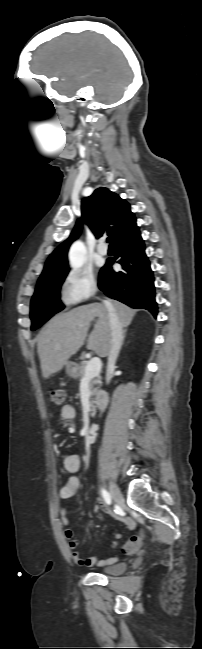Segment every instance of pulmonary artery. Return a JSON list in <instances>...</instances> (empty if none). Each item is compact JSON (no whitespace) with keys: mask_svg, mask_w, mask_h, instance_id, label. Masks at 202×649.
<instances>
[{"mask_svg":"<svg viewBox=\"0 0 202 649\" xmlns=\"http://www.w3.org/2000/svg\"><path fill=\"white\" fill-rule=\"evenodd\" d=\"M97 251L100 255H106L108 253L107 246L101 241L97 247Z\"/></svg>","mask_w":202,"mask_h":649,"instance_id":"1","label":"pulmonary artery"}]
</instances>
